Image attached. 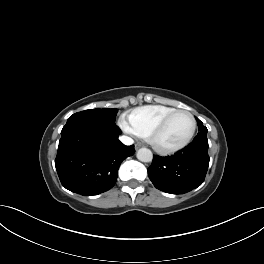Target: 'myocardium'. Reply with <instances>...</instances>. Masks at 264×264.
I'll return each instance as SVG.
<instances>
[{
  "label": "myocardium",
  "instance_id": "obj_1",
  "mask_svg": "<svg viewBox=\"0 0 264 264\" xmlns=\"http://www.w3.org/2000/svg\"><path fill=\"white\" fill-rule=\"evenodd\" d=\"M187 114L192 121V129L190 134L188 135V137L176 144V145H172V146H161L157 143L156 138L157 136L165 129V127L167 126V124L169 123V121L177 114ZM197 130V121L195 116L188 110H184V109H176L174 111H172L171 113H169L168 115H166L150 132L149 136H148V142L149 144L152 146V148L161 153V154H170V153H174L177 151L182 150L183 148H185L186 146H188L191 141L193 140L195 133Z\"/></svg>",
  "mask_w": 264,
  "mask_h": 264
}]
</instances>
